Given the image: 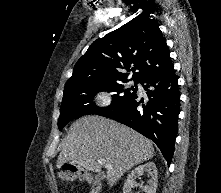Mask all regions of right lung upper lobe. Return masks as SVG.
<instances>
[{
  "label": "right lung upper lobe",
  "mask_w": 221,
  "mask_h": 193,
  "mask_svg": "<svg viewBox=\"0 0 221 193\" xmlns=\"http://www.w3.org/2000/svg\"><path fill=\"white\" fill-rule=\"evenodd\" d=\"M173 68L170 52L157 21L138 16L95 40L77 61L65 89L132 80L141 82Z\"/></svg>",
  "instance_id": "obj_1"
}]
</instances>
